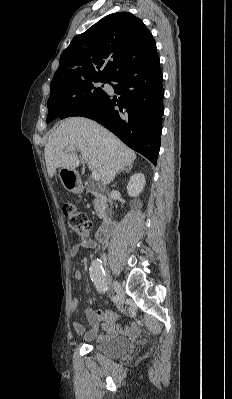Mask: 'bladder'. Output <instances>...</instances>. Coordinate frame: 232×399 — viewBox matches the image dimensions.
Here are the masks:
<instances>
[{
	"label": "bladder",
	"mask_w": 232,
	"mask_h": 399,
	"mask_svg": "<svg viewBox=\"0 0 232 399\" xmlns=\"http://www.w3.org/2000/svg\"><path fill=\"white\" fill-rule=\"evenodd\" d=\"M93 348L105 358L119 359L129 352L130 344L127 339L116 337L105 343L95 344Z\"/></svg>",
	"instance_id": "31cf9c89"
}]
</instances>
